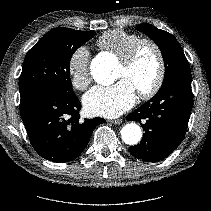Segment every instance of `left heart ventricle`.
<instances>
[{
	"instance_id": "1",
	"label": "left heart ventricle",
	"mask_w": 211,
	"mask_h": 211,
	"mask_svg": "<svg viewBox=\"0 0 211 211\" xmlns=\"http://www.w3.org/2000/svg\"><path fill=\"white\" fill-rule=\"evenodd\" d=\"M158 71L157 57L150 46L141 48L133 65L125 69L121 64L116 80L129 81L137 92L147 90L154 82Z\"/></svg>"
}]
</instances>
